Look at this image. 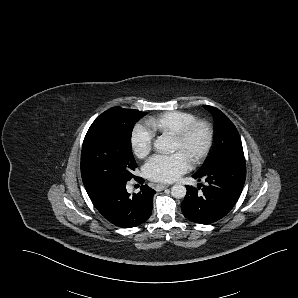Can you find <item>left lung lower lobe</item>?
Masks as SVG:
<instances>
[{
	"instance_id": "0a47b994",
	"label": "left lung lower lobe",
	"mask_w": 298,
	"mask_h": 298,
	"mask_svg": "<svg viewBox=\"0 0 298 298\" xmlns=\"http://www.w3.org/2000/svg\"><path fill=\"white\" fill-rule=\"evenodd\" d=\"M198 181L206 178L202 191L186 186L187 194L181 203L184 216L195 223L211 224L223 218L237 202L246 178L244 157H236L193 175ZM201 185V184H199Z\"/></svg>"
}]
</instances>
